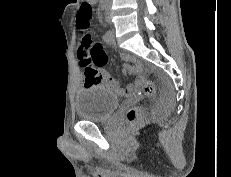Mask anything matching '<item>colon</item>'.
Masks as SVG:
<instances>
[{
    "instance_id": "1",
    "label": "colon",
    "mask_w": 231,
    "mask_h": 177,
    "mask_svg": "<svg viewBox=\"0 0 231 177\" xmlns=\"http://www.w3.org/2000/svg\"><path fill=\"white\" fill-rule=\"evenodd\" d=\"M92 18V6L88 3H83L80 7L77 26L82 34V39L78 49V57L82 66L85 68V77L92 79L97 77V70L92 65L100 66L106 63L107 55L100 46L95 42L90 30V21ZM144 91L147 95H152L154 86L152 82L146 81ZM127 118L130 122H136L141 118V110L133 108L128 111Z\"/></svg>"
}]
</instances>
